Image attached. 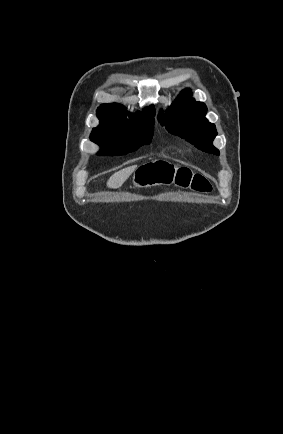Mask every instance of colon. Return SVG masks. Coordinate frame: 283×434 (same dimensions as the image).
I'll use <instances>...</instances> for the list:
<instances>
[{"label": "colon", "mask_w": 283, "mask_h": 434, "mask_svg": "<svg viewBox=\"0 0 283 434\" xmlns=\"http://www.w3.org/2000/svg\"><path fill=\"white\" fill-rule=\"evenodd\" d=\"M135 183L139 187L175 184L198 192H210L212 186L207 177L189 168L175 167L166 162H152L138 168Z\"/></svg>", "instance_id": "obj_1"}]
</instances>
